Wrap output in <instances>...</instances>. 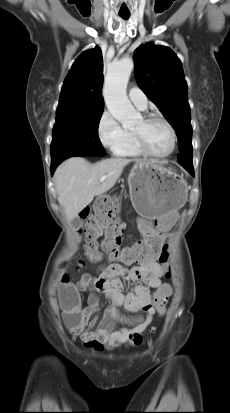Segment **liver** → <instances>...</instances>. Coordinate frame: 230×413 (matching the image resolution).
Wrapping results in <instances>:
<instances>
[{
    "mask_svg": "<svg viewBox=\"0 0 230 413\" xmlns=\"http://www.w3.org/2000/svg\"><path fill=\"white\" fill-rule=\"evenodd\" d=\"M130 162L131 159L110 158L92 165L82 157H72L60 164L54 174L57 199L68 221L76 218L95 196L110 190ZM103 176L106 180L100 182Z\"/></svg>",
    "mask_w": 230,
    "mask_h": 413,
    "instance_id": "liver-1",
    "label": "liver"
}]
</instances>
